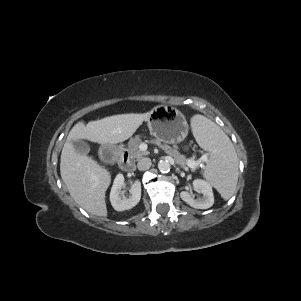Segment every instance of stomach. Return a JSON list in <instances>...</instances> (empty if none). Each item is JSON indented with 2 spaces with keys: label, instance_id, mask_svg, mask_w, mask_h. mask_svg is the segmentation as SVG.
<instances>
[{
  "label": "stomach",
  "instance_id": "obj_1",
  "mask_svg": "<svg viewBox=\"0 0 301 301\" xmlns=\"http://www.w3.org/2000/svg\"><path fill=\"white\" fill-rule=\"evenodd\" d=\"M146 121L150 134L160 142L179 143L188 134V124L184 115L173 107L156 106L149 112Z\"/></svg>",
  "mask_w": 301,
  "mask_h": 301
}]
</instances>
